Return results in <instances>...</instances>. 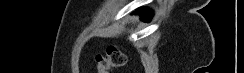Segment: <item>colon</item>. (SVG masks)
Returning a JSON list of instances; mask_svg holds the SVG:
<instances>
[{
	"label": "colon",
	"mask_w": 244,
	"mask_h": 73,
	"mask_svg": "<svg viewBox=\"0 0 244 73\" xmlns=\"http://www.w3.org/2000/svg\"><path fill=\"white\" fill-rule=\"evenodd\" d=\"M96 63L99 73H109L115 68L124 66L126 56L118 47L108 45L104 53L96 55Z\"/></svg>",
	"instance_id": "5ec220e1"
}]
</instances>
